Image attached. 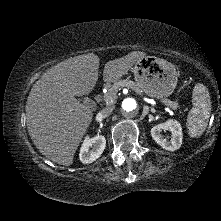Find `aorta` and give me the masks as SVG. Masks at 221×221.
Wrapping results in <instances>:
<instances>
[{
    "label": "aorta",
    "mask_w": 221,
    "mask_h": 221,
    "mask_svg": "<svg viewBox=\"0 0 221 221\" xmlns=\"http://www.w3.org/2000/svg\"><path fill=\"white\" fill-rule=\"evenodd\" d=\"M139 109L137 100L132 97L125 98L120 105V111L126 118L135 117L139 113Z\"/></svg>",
    "instance_id": "1"
}]
</instances>
